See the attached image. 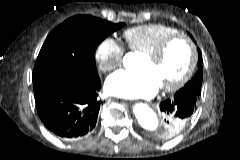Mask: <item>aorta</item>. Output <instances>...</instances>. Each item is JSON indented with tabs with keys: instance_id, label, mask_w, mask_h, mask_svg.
I'll return each instance as SVG.
<instances>
[{
	"instance_id": "762f6f07",
	"label": "aorta",
	"mask_w": 240,
	"mask_h": 160,
	"mask_svg": "<svg viewBox=\"0 0 240 160\" xmlns=\"http://www.w3.org/2000/svg\"><path fill=\"white\" fill-rule=\"evenodd\" d=\"M133 112L142 128L149 132L157 130L159 125L157 115L147 104H135L133 107Z\"/></svg>"
}]
</instances>
